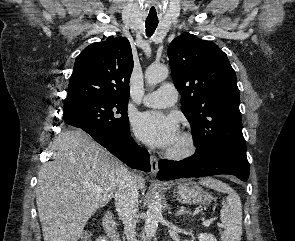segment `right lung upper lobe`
<instances>
[{"instance_id":"cb5924a9","label":"right lung upper lobe","mask_w":295,"mask_h":241,"mask_svg":"<svg viewBox=\"0 0 295 241\" xmlns=\"http://www.w3.org/2000/svg\"><path fill=\"white\" fill-rule=\"evenodd\" d=\"M133 57L125 37L110 36L76 58L64 109L87 102H128Z\"/></svg>"}]
</instances>
